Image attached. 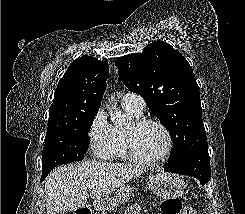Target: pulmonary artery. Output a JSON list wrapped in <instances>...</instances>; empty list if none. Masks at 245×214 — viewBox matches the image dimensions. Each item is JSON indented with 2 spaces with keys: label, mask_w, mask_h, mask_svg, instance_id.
Instances as JSON below:
<instances>
[{
  "label": "pulmonary artery",
  "mask_w": 245,
  "mask_h": 214,
  "mask_svg": "<svg viewBox=\"0 0 245 214\" xmlns=\"http://www.w3.org/2000/svg\"><path fill=\"white\" fill-rule=\"evenodd\" d=\"M122 105L130 106L137 110L138 112H142L145 107L144 99L135 93H126L122 97Z\"/></svg>",
  "instance_id": "pulmonary-artery-1"
}]
</instances>
